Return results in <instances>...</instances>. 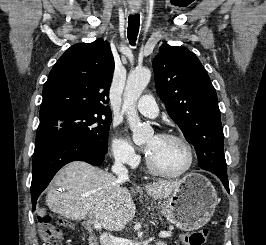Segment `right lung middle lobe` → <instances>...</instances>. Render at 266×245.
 <instances>
[{"label":"right lung middle lobe","instance_id":"right-lung-middle-lobe-1","mask_svg":"<svg viewBox=\"0 0 266 245\" xmlns=\"http://www.w3.org/2000/svg\"><path fill=\"white\" fill-rule=\"evenodd\" d=\"M110 110L91 107L68 110L40 120L36 144L56 136L71 137L107 153Z\"/></svg>","mask_w":266,"mask_h":245}]
</instances>
